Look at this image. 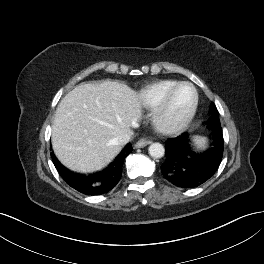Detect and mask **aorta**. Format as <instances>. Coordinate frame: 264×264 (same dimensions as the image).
I'll return each mask as SVG.
<instances>
[{
    "label": "aorta",
    "mask_w": 264,
    "mask_h": 264,
    "mask_svg": "<svg viewBox=\"0 0 264 264\" xmlns=\"http://www.w3.org/2000/svg\"><path fill=\"white\" fill-rule=\"evenodd\" d=\"M148 152L153 158H161L165 154V148L160 143H152L148 148Z\"/></svg>",
    "instance_id": "aorta-1"
}]
</instances>
